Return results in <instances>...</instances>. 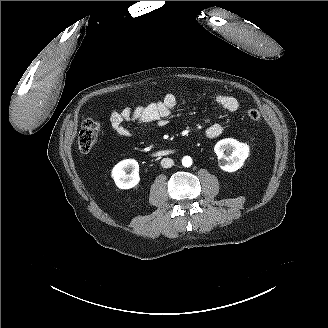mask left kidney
<instances>
[{"mask_svg": "<svg viewBox=\"0 0 328 328\" xmlns=\"http://www.w3.org/2000/svg\"><path fill=\"white\" fill-rule=\"evenodd\" d=\"M214 151L220 168L227 172H234L244 164L249 155V146L233 138H226L216 143Z\"/></svg>", "mask_w": 328, "mask_h": 328, "instance_id": "obj_1", "label": "left kidney"}]
</instances>
